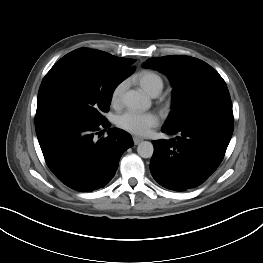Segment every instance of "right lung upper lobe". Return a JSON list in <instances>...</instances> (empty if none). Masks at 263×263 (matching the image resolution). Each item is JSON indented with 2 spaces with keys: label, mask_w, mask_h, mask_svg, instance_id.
<instances>
[{
  "label": "right lung upper lobe",
  "mask_w": 263,
  "mask_h": 263,
  "mask_svg": "<svg viewBox=\"0 0 263 263\" xmlns=\"http://www.w3.org/2000/svg\"><path fill=\"white\" fill-rule=\"evenodd\" d=\"M70 54L84 55L101 62L124 67L133 72L135 71V68L131 66L135 62L134 59L116 57L100 50L81 48L70 52Z\"/></svg>",
  "instance_id": "right-lung-upper-lobe-1"
}]
</instances>
